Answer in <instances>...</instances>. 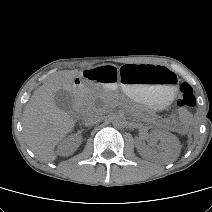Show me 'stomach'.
Listing matches in <instances>:
<instances>
[{"label":"stomach","instance_id":"1","mask_svg":"<svg viewBox=\"0 0 212 212\" xmlns=\"http://www.w3.org/2000/svg\"><path fill=\"white\" fill-rule=\"evenodd\" d=\"M87 82H103L144 106L157 110L174 97L176 77L166 67L154 65H100L83 71Z\"/></svg>","mask_w":212,"mask_h":212}]
</instances>
